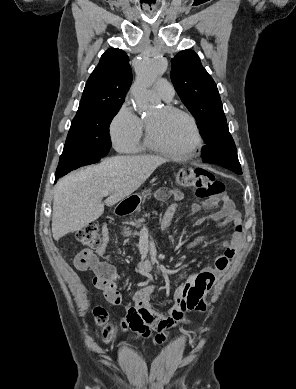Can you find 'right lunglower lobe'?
<instances>
[{
    "instance_id": "right-lung-lower-lobe-1",
    "label": "right lung lower lobe",
    "mask_w": 296,
    "mask_h": 389,
    "mask_svg": "<svg viewBox=\"0 0 296 389\" xmlns=\"http://www.w3.org/2000/svg\"><path fill=\"white\" fill-rule=\"evenodd\" d=\"M70 171H71V170H68V169L56 171V174H55V183H56V181H57L60 177L64 176L65 174H67V173L70 172Z\"/></svg>"
}]
</instances>
